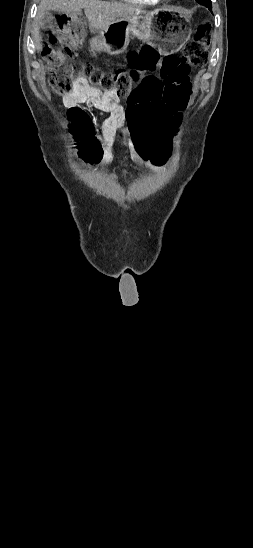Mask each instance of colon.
Wrapping results in <instances>:
<instances>
[{"label": "colon", "instance_id": "colon-1", "mask_svg": "<svg viewBox=\"0 0 253 548\" xmlns=\"http://www.w3.org/2000/svg\"><path fill=\"white\" fill-rule=\"evenodd\" d=\"M70 16L57 17V34L43 49V59L50 70L49 85L59 95L69 93L78 77L104 91H116L127 105L126 125L132 133L137 156L150 159L151 165H165L169 154V141L180 133L178 118L186 109L191 94L190 72L203 66L208 59L210 31L201 26L195 37L186 43L178 57L153 60L155 52L143 47L128 55L129 72L105 71L90 64L73 61L76 56L82 28L73 27ZM141 71V76H138ZM135 87H132L133 84ZM78 125L77 142L80 154L86 161L94 162L101 146L94 136L87 115L79 108L70 109Z\"/></svg>", "mask_w": 253, "mask_h": 548}]
</instances>
